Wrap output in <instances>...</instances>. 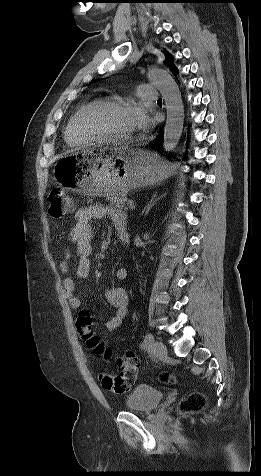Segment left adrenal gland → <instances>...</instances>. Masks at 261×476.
<instances>
[{"mask_svg":"<svg viewBox=\"0 0 261 476\" xmlns=\"http://www.w3.org/2000/svg\"><path fill=\"white\" fill-rule=\"evenodd\" d=\"M165 195L166 194H163V195L157 197V192H155L154 195L152 196L151 200L149 201V203H147V205L144 207L143 213L145 215H147L149 213L150 209L157 203V201H159Z\"/></svg>","mask_w":261,"mask_h":476,"instance_id":"1","label":"left adrenal gland"}]
</instances>
